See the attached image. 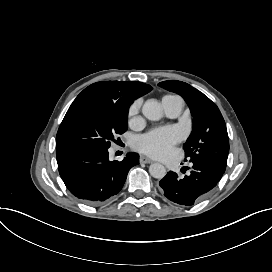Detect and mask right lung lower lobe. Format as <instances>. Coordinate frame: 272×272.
I'll return each mask as SVG.
<instances>
[{
  "label": "right lung lower lobe",
  "instance_id": "1",
  "mask_svg": "<svg viewBox=\"0 0 272 272\" xmlns=\"http://www.w3.org/2000/svg\"><path fill=\"white\" fill-rule=\"evenodd\" d=\"M108 149H65L57 152L58 170L67 189L88 205H100L117 195L128 171L139 163L136 153L121 162L109 161Z\"/></svg>",
  "mask_w": 272,
  "mask_h": 272
}]
</instances>
